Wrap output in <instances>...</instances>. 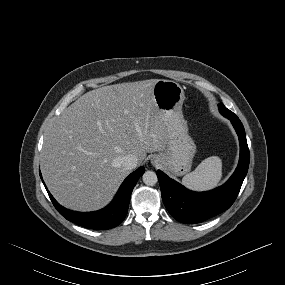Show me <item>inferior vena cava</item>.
<instances>
[{"label": "inferior vena cava", "instance_id": "602c4592", "mask_svg": "<svg viewBox=\"0 0 285 285\" xmlns=\"http://www.w3.org/2000/svg\"><path fill=\"white\" fill-rule=\"evenodd\" d=\"M137 158L135 155H127L123 158V166L128 170H133L137 167Z\"/></svg>", "mask_w": 285, "mask_h": 285}]
</instances>
